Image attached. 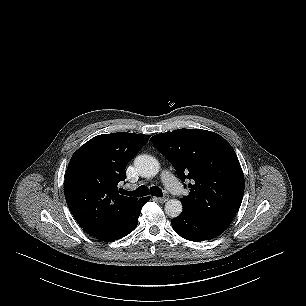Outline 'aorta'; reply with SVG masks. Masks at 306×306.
<instances>
[{
  "mask_svg": "<svg viewBox=\"0 0 306 306\" xmlns=\"http://www.w3.org/2000/svg\"><path fill=\"white\" fill-rule=\"evenodd\" d=\"M134 166L137 172L146 178L157 175L160 169L158 160L147 154L137 156L134 160ZM182 209V203L176 199L168 200L165 204V213L171 218L178 217L182 213Z\"/></svg>",
  "mask_w": 306,
  "mask_h": 306,
  "instance_id": "762f6f07",
  "label": "aorta"
}]
</instances>
